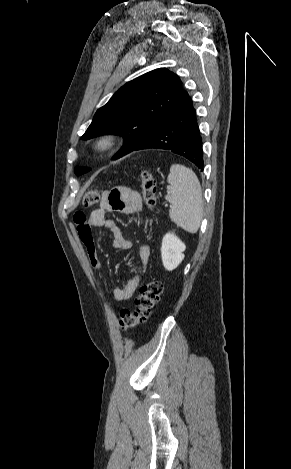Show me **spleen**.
<instances>
[{"label": "spleen", "mask_w": 291, "mask_h": 469, "mask_svg": "<svg viewBox=\"0 0 291 469\" xmlns=\"http://www.w3.org/2000/svg\"><path fill=\"white\" fill-rule=\"evenodd\" d=\"M167 195L170 219L189 233H196L203 218V198L196 174L180 164H173L168 175Z\"/></svg>", "instance_id": "obj_1"}]
</instances>
